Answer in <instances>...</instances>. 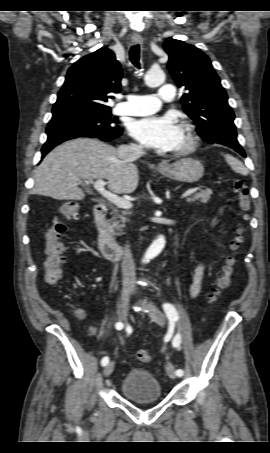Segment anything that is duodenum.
Returning a JSON list of instances; mask_svg holds the SVG:
<instances>
[{"label": "duodenum", "instance_id": "obj_1", "mask_svg": "<svg viewBox=\"0 0 270 453\" xmlns=\"http://www.w3.org/2000/svg\"><path fill=\"white\" fill-rule=\"evenodd\" d=\"M106 204H97L94 208V224L98 232L101 253L109 260H120L124 254L123 247L114 239L106 221Z\"/></svg>", "mask_w": 270, "mask_h": 453}]
</instances>
